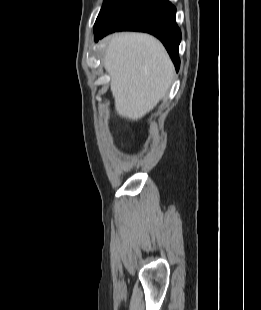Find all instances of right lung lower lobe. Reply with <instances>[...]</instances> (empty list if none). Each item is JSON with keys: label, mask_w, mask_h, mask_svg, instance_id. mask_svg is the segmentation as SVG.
<instances>
[{"label": "right lung lower lobe", "mask_w": 261, "mask_h": 310, "mask_svg": "<svg viewBox=\"0 0 261 310\" xmlns=\"http://www.w3.org/2000/svg\"><path fill=\"white\" fill-rule=\"evenodd\" d=\"M175 13L176 8L168 0H130L103 26L94 28L95 38L98 40L121 30L148 32L164 44L178 70L181 31L176 24Z\"/></svg>", "instance_id": "98d812e1"}]
</instances>
